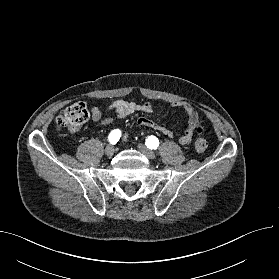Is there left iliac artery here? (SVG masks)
Returning <instances> with one entry per match:
<instances>
[{"instance_id": "obj_1", "label": "left iliac artery", "mask_w": 279, "mask_h": 279, "mask_svg": "<svg viewBox=\"0 0 279 279\" xmlns=\"http://www.w3.org/2000/svg\"><path fill=\"white\" fill-rule=\"evenodd\" d=\"M146 145L148 148L156 149L159 146V140L155 136H150L146 139Z\"/></svg>"}]
</instances>
